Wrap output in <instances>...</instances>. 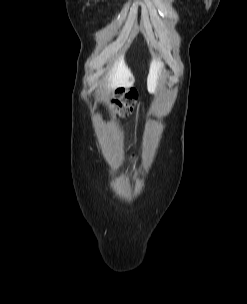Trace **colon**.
Segmentation results:
<instances>
[{"label":"colon","instance_id":"obj_1","mask_svg":"<svg viewBox=\"0 0 247 304\" xmlns=\"http://www.w3.org/2000/svg\"><path fill=\"white\" fill-rule=\"evenodd\" d=\"M117 98L114 101L115 113H126L132 111L136 104L137 94L134 91L119 89L116 93Z\"/></svg>","mask_w":247,"mask_h":304}]
</instances>
